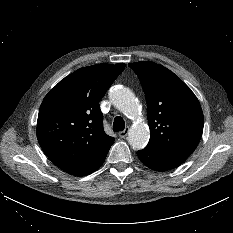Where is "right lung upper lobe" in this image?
<instances>
[{
	"label": "right lung upper lobe",
	"mask_w": 233,
	"mask_h": 233,
	"mask_svg": "<svg viewBox=\"0 0 233 233\" xmlns=\"http://www.w3.org/2000/svg\"><path fill=\"white\" fill-rule=\"evenodd\" d=\"M125 64L80 68L45 96L37 138L47 157L63 171L79 176L97 165L114 142L105 134L99 102Z\"/></svg>",
	"instance_id": "obj_1"
}]
</instances>
